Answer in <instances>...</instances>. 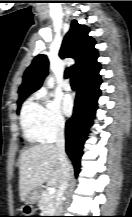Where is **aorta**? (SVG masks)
Listing matches in <instances>:
<instances>
[{
    "mask_svg": "<svg viewBox=\"0 0 132 217\" xmlns=\"http://www.w3.org/2000/svg\"><path fill=\"white\" fill-rule=\"evenodd\" d=\"M55 84V80L53 76H48L47 78V86L48 88H53Z\"/></svg>",
    "mask_w": 132,
    "mask_h": 217,
    "instance_id": "1",
    "label": "aorta"
}]
</instances>
